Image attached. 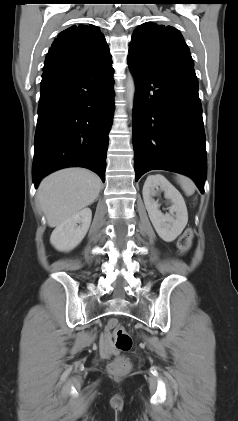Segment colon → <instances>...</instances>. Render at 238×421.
<instances>
[{"instance_id":"1","label":"colon","mask_w":238,"mask_h":421,"mask_svg":"<svg viewBox=\"0 0 238 421\" xmlns=\"http://www.w3.org/2000/svg\"><path fill=\"white\" fill-rule=\"evenodd\" d=\"M193 238L191 229H187L180 236L178 240V249L180 253H185L189 250ZM108 332L113 339L114 345L117 350L127 352L132 348V338L117 320H111L108 326ZM130 366L129 360L124 356L117 357L109 365V370L113 374H124L128 371Z\"/></svg>"}]
</instances>
